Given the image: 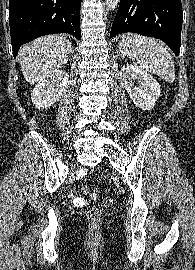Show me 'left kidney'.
I'll use <instances>...</instances> for the list:
<instances>
[{
	"label": "left kidney",
	"instance_id": "obj_1",
	"mask_svg": "<svg viewBox=\"0 0 195 270\" xmlns=\"http://www.w3.org/2000/svg\"><path fill=\"white\" fill-rule=\"evenodd\" d=\"M120 77L136 106L148 111L154 108L161 89L159 83L150 74L134 65L126 64L120 71ZM135 81L139 86L134 85Z\"/></svg>",
	"mask_w": 195,
	"mask_h": 270
}]
</instances>
